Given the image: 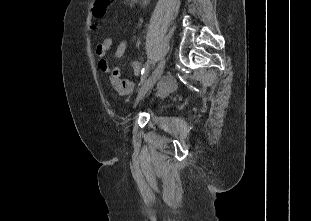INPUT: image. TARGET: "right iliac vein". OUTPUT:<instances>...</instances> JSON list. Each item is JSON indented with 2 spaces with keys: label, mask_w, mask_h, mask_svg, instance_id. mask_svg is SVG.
Listing matches in <instances>:
<instances>
[{
  "label": "right iliac vein",
  "mask_w": 311,
  "mask_h": 221,
  "mask_svg": "<svg viewBox=\"0 0 311 221\" xmlns=\"http://www.w3.org/2000/svg\"><path fill=\"white\" fill-rule=\"evenodd\" d=\"M165 67V59H162L156 69L153 71L152 75L144 82L141 86L136 101L134 103V107L139 103V101L146 95V93L153 87L156 81L159 79L161 74L163 73Z\"/></svg>",
  "instance_id": "63e3f726"
}]
</instances>
